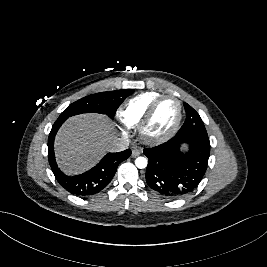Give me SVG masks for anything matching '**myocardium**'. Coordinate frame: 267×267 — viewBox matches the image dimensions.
Masks as SVG:
<instances>
[{"label": "myocardium", "instance_id": "f54148a6", "mask_svg": "<svg viewBox=\"0 0 267 267\" xmlns=\"http://www.w3.org/2000/svg\"><path fill=\"white\" fill-rule=\"evenodd\" d=\"M174 99L177 103L178 106V115H177V119L176 122L174 124V126L171 128L170 131H168L167 133H165L164 135L161 136H151L148 134L147 132V127L155 113L156 108L158 107V105L165 99ZM182 116H183V106H182V102L181 100L173 95V94H164L161 95L159 97H157L147 108V110L145 111L139 125H138V133H139V137L140 139L147 144L150 145H157V144H161L164 143L166 141H168L169 139H171L179 130L181 122H182Z\"/></svg>", "mask_w": 267, "mask_h": 267}]
</instances>
